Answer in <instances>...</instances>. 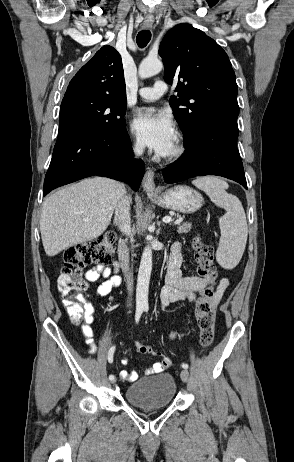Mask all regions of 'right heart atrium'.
Returning <instances> with one entry per match:
<instances>
[{
    "mask_svg": "<svg viewBox=\"0 0 294 462\" xmlns=\"http://www.w3.org/2000/svg\"><path fill=\"white\" fill-rule=\"evenodd\" d=\"M132 149L136 153H140L143 150V143L138 137H134L132 140Z\"/></svg>",
    "mask_w": 294,
    "mask_h": 462,
    "instance_id": "1",
    "label": "right heart atrium"
}]
</instances>
